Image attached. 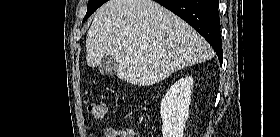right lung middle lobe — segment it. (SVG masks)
I'll use <instances>...</instances> for the list:
<instances>
[{"instance_id": "right-lung-middle-lobe-1", "label": "right lung middle lobe", "mask_w": 280, "mask_h": 137, "mask_svg": "<svg viewBox=\"0 0 280 137\" xmlns=\"http://www.w3.org/2000/svg\"><path fill=\"white\" fill-rule=\"evenodd\" d=\"M108 0H89L88 2V10L87 13L83 19V22L91 16V14L97 10L98 7H100L102 4L107 2Z\"/></svg>"}]
</instances>
